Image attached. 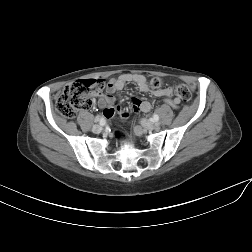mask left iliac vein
<instances>
[{
	"mask_svg": "<svg viewBox=\"0 0 252 252\" xmlns=\"http://www.w3.org/2000/svg\"><path fill=\"white\" fill-rule=\"evenodd\" d=\"M160 123L154 124L153 122L142 120V126L149 131H152L155 127L159 126Z\"/></svg>",
	"mask_w": 252,
	"mask_h": 252,
	"instance_id": "4c4485c4",
	"label": "left iliac vein"
}]
</instances>
